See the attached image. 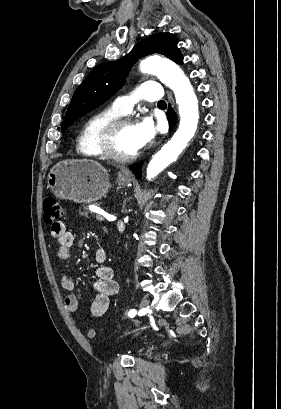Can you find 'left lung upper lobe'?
Wrapping results in <instances>:
<instances>
[{
  "mask_svg": "<svg viewBox=\"0 0 281 409\" xmlns=\"http://www.w3.org/2000/svg\"><path fill=\"white\" fill-rule=\"evenodd\" d=\"M177 43L178 39L171 33H156L141 40L125 57L96 66L76 89L62 123V131L114 95L140 58L159 53L182 64L183 57Z\"/></svg>",
  "mask_w": 281,
  "mask_h": 409,
  "instance_id": "obj_1",
  "label": "left lung upper lobe"
}]
</instances>
